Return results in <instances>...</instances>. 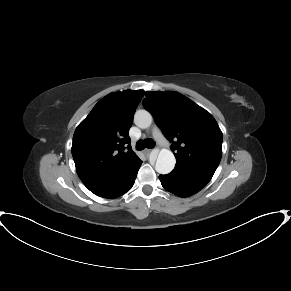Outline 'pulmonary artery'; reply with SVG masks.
I'll return each instance as SVG.
<instances>
[{
    "mask_svg": "<svg viewBox=\"0 0 291 291\" xmlns=\"http://www.w3.org/2000/svg\"><path fill=\"white\" fill-rule=\"evenodd\" d=\"M153 134L158 139V141L162 142L166 146L171 145V143L163 137V135L161 134L160 130L157 127H154Z\"/></svg>",
    "mask_w": 291,
    "mask_h": 291,
    "instance_id": "e3ab8cb5",
    "label": "pulmonary artery"
}]
</instances>
